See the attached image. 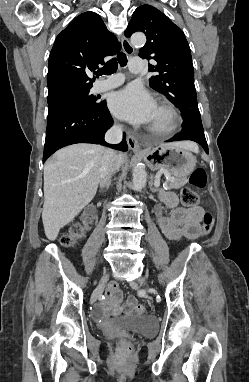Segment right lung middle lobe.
I'll return each mask as SVG.
<instances>
[{
  "mask_svg": "<svg viewBox=\"0 0 249 382\" xmlns=\"http://www.w3.org/2000/svg\"><path fill=\"white\" fill-rule=\"evenodd\" d=\"M99 98L90 89L48 103L47 122L76 112H93L99 106Z\"/></svg>",
  "mask_w": 249,
  "mask_h": 382,
  "instance_id": "1",
  "label": "right lung middle lobe"
}]
</instances>
